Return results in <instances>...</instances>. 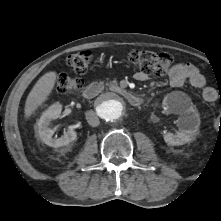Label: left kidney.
Segmentation results:
<instances>
[{
    "label": "left kidney",
    "instance_id": "1",
    "mask_svg": "<svg viewBox=\"0 0 221 221\" xmlns=\"http://www.w3.org/2000/svg\"><path fill=\"white\" fill-rule=\"evenodd\" d=\"M163 105L174 114H178V131L165 133L164 141L171 146H179L190 142L199 130L200 117L190 97L181 91L167 94Z\"/></svg>",
    "mask_w": 221,
    "mask_h": 221
}]
</instances>
